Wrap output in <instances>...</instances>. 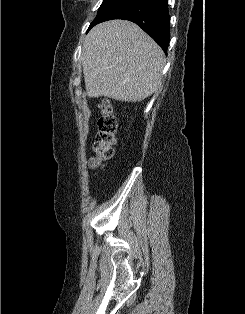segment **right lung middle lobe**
I'll use <instances>...</instances> for the list:
<instances>
[{"instance_id": "obj_1", "label": "right lung middle lobe", "mask_w": 245, "mask_h": 314, "mask_svg": "<svg viewBox=\"0 0 245 314\" xmlns=\"http://www.w3.org/2000/svg\"><path fill=\"white\" fill-rule=\"evenodd\" d=\"M126 1L127 0H103V3L98 10V14L93 22L90 24L88 31L93 26L100 23L109 13H111L114 9H116Z\"/></svg>"}]
</instances>
